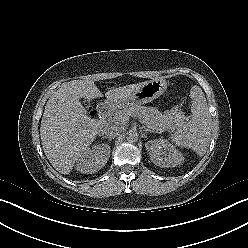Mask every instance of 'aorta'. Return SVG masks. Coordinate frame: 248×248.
Segmentation results:
<instances>
[{"mask_svg":"<svg viewBox=\"0 0 248 248\" xmlns=\"http://www.w3.org/2000/svg\"><path fill=\"white\" fill-rule=\"evenodd\" d=\"M138 133L135 130H130L126 134V139L128 142L133 143L138 141Z\"/></svg>","mask_w":248,"mask_h":248,"instance_id":"obj_1","label":"aorta"}]
</instances>
